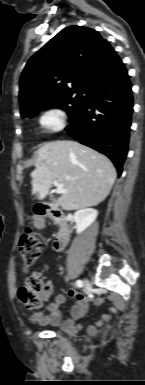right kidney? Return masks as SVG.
Masks as SVG:
<instances>
[{"instance_id":"right-kidney-1","label":"right kidney","mask_w":145,"mask_h":385,"mask_svg":"<svg viewBox=\"0 0 145 385\" xmlns=\"http://www.w3.org/2000/svg\"><path fill=\"white\" fill-rule=\"evenodd\" d=\"M98 211L92 208H85L77 211L74 214V221L76 223V233L80 234L86 230L97 218Z\"/></svg>"}]
</instances>
